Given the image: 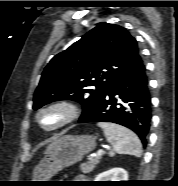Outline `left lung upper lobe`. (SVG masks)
<instances>
[{
	"label": "left lung upper lobe",
	"instance_id": "1",
	"mask_svg": "<svg viewBox=\"0 0 178 186\" xmlns=\"http://www.w3.org/2000/svg\"><path fill=\"white\" fill-rule=\"evenodd\" d=\"M142 62L137 41L121 27L99 23L45 67L33 109L57 100L82 104V115L100 104L122 74Z\"/></svg>",
	"mask_w": 178,
	"mask_h": 186
}]
</instances>
